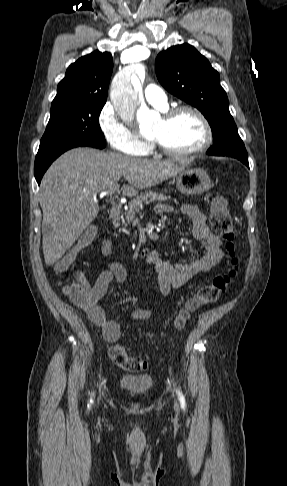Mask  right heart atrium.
Listing matches in <instances>:
<instances>
[{
  "mask_svg": "<svg viewBox=\"0 0 287 486\" xmlns=\"http://www.w3.org/2000/svg\"><path fill=\"white\" fill-rule=\"evenodd\" d=\"M98 125L102 135L116 151L138 155L148 149V144L119 116L110 103L100 110Z\"/></svg>",
  "mask_w": 287,
  "mask_h": 486,
  "instance_id": "1",
  "label": "right heart atrium"
}]
</instances>
